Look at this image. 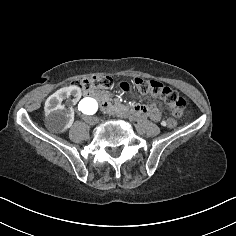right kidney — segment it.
<instances>
[{
  "mask_svg": "<svg viewBox=\"0 0 236 236\" xmlns=\"http://www.w3.org/2000/svg\"><path fill=\"white\" fill-rule=\"evenodd\" d=\"M80 97L81 89L78 86L64 87L51 95L46 105L49 112L43 122L45 128L56 133L71 127L74 121L72 113Z\"/></svg>",
  "mask_w": 236,
  "mask_h": 236,
  "instance_id": "obj_1",
  "label": "right kidney"
}]
</instances>
